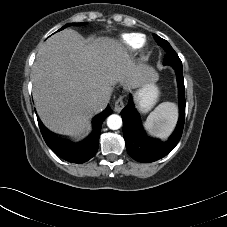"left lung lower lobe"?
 <instances>
[{"label":"left lung lower lobe","mask_w":227,"mask_h":227,"mask_svg":"<svg viewBox=\"0 0 227 227\" xmlns=\"http://www.w3.org/2000/svg\"><path fill=\"white\" fill-rule=\"evenodd\" d=\"M175 70L178 82L179 120L168 141L162 142L146 135L131 96L128 105L121 112L127 152L138 162H153L163 158L177 145L181 138L185 120V87L182 69Z\"/></svg>","instance_id":"1"}]
</instances>
